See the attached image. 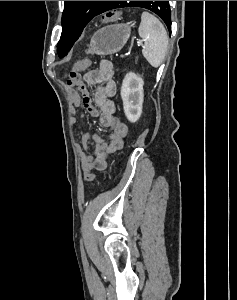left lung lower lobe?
Segmentation results:
<instances>
[{
    "instance_id": "obj_1",
    "label": "left lung lower lobe",
    "mask_w": 237,
    "mask_h": 300,
    "mask_svg": "<svg viewBox=\"0 0 237 300\" xmlns=\"http://www.w3.org/2000/svg\"><path fill=\"white\" fill-rule=\"evenodd\" d=\"M120 2L121 1H111L107 7L105 8V11L108 10H112V9H116V8H120ZM167 5H169V1H160V8L163 9L164 7H166Z\"/></svg>"
}]
</instances>
